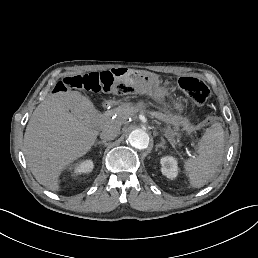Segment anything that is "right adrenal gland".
<instances>
[{
  "mask_svg": "<svg viewBox=\"0 0 258 258\" xmlns=\"http://www.w3.org/2000/svg\"><path fill=\"white\" fill-rule=\"evenodd\" d=\"M104 144L105 146H107L108 145V143L106 142V141H104V140H101V141H97L96 142V144Z\"/></svg>",
  "mask_w": 258,
  "mask_h": 258,
  "instance_id": "obj_1",
  "label": "right adrenal gland"
}]
</instances>
